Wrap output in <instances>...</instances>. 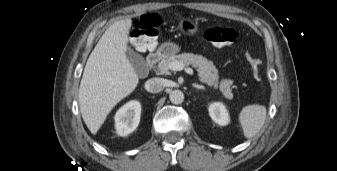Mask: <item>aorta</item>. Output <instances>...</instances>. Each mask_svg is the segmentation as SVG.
Instances as JSON below:
<instances>
[{
    "label": "aorta",
    "instance_id": "aorta-1",
    "mask_svg": "<svg viewBox=\"0 0 337 171\" xmlns=\"http://www.w3.org/2000/svg\"><path fill=\"white\" fill-rule=\"evenodd\" d=\"M169 99L173 104H181L184 101V94L180 90H173L169 94Z\"/></svg>",
    "mask_w": 337,
    "mask_h": 171
}]
</instances>
